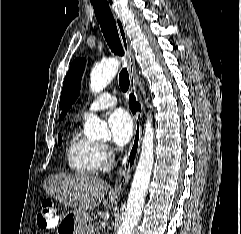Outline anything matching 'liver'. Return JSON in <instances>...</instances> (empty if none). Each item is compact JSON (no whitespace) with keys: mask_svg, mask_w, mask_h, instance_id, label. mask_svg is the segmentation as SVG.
I'll return each instance as SVG.
<instances>
[{"mask_svg":"<svg viewBox=\"0 0 241 234\" xmlns=\"http://www.w3.org/2000/svg\"><path fill=\"white\" fill-rule=\"evenodd\" d=\"M43 188L67 207L89 210L101 203L109 185L106 181L88 174H54L45 179Z\"/></svg>","mask_w":241,"mask_h":234,"instance_id":"6515ba94","label":"liver"}]
</instances>
